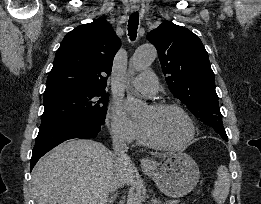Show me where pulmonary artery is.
Wrapping results in <instances>:
<instances>
[{"label": "pulmonary artery", "mask_w": 261, "mask_h": 204, "mask_svg": "<svg viewBox=\"0 0 261 204\" xmlns=\"http://www.w3.org/2000/svg\"><path fill=\"white\" fill-rule=\"evenodd\" d=\"M131 85L136 90L146 96L152 97L158 90V82L156 75L151 71H146L134 78Z\"/></svg>", "instance_id": "e3ab8cb5"}]
</instances>
